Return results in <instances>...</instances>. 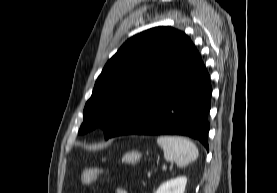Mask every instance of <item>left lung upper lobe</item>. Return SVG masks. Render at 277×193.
Returning a JSON list of instances; mask_svg holds the SVG:
<instances>
[{
  "label": "left lung upper lobe",
  "mask_w": 277,
  "mask_h": 193,
  "mask_svg": "<svg viewBox=\"0 0 277 193\" xmlns=\"http://www.w3.org/2000/svg\"><path fill=\"white\" fill-rule=\"evenodd\" d=\"M195 46L171 27H155L128 39L107 62L87 101L78 134L97 126L108 139L133 109L171 77Z\"/></svg>",
  "instance_id": "1"
}]
</instances>
